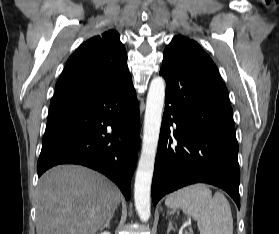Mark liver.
I'll return each mask as SVG.
<instances>
[{"label": "liver", "instance_id": "1", "mask_svg": "<svg viewBox=\"0 0 279 234\" xmlns=\"http://www.w3.org/2000/svg\"><path fill=\"white\" fill-rule=\"evenodd\" d=\"M121 192L86 167L60 165L38 182L36 234H95L120 202Z\"/></svg>", "mask_w": 279, "mask_h": 234}]
</instances>
